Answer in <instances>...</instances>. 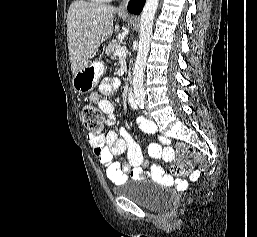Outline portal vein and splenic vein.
Listing matches in <instances>:
<instances>
[{
	"label": "portal vein and splenic vein",
	"instance_id": "18ae733b",
	"mask_svg": "<svg viewBox=\"0 0 257 237\" xmlns=\"http://www.w3.org/2000/svg\"><path fill=\"white\" fill-rule=\"evenodd\" d=\"M126 52H127V48H126L125 46L119 47V48L116 49V51H115L116 55H118V56L125 55Z\"/></svg>",
	"mask_w": 257,
	"mask_h": 237
}]
</instances>
